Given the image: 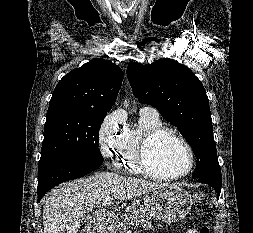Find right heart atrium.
I'll return each instance as SVG.
<instances>
[{"instance_id":"obj_1","label":"right heart atrium","mask_w":253,"mask_h":233,"mask_svg":"<svg viewBox=\"0 0 253 233\" xmlns=\"http://www.w3.org/2000/svg\"><path fill=\"white\" fill-rule=\"evenodd\" d=\"M125 129L124 120L119 111H113L104 118L98 131V146L104 158L114 157Z\"/></svg>"}]
</instances>
